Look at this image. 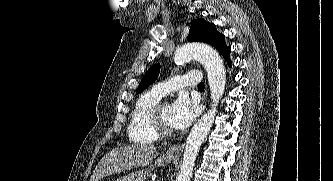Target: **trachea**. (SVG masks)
Segmentation results:
<instances>
[{"label": "trachea", "instance_id": "obj_1", "mask_svg": "<svg viewBox=\"0 0 333 181\" xmlns=\"http://www.w3.org/2000/svg\"><path fill=\"white\" fill-rule=\"evenodd\" d=\"M204 88H205L204 83H200V84L198 85V89H199V90H204Z\"/></svg>", "mask_w": 333, "mask_h": 181}]
</instances>
